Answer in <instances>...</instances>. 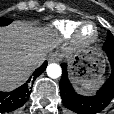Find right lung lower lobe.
Instances as JSON below:
<instances>
[{
    "label": "right lung lower lobe",
    "instance_id": "1",
    "mask_svg": "<svg viewBox=\"0 0 114 114\" xmlns=\"http://www.w3.org/2000/svg\"><path fill=\"white\" fill-rule=\"evenodd\" d=\"M46 66L45 61L34 71L33 81L46 69ZM29 82L30 79L12 92H0V113L11 112L24 105L31 93Z\"/></svg>",
    "mask_w": 114,
    "mask_h": 114
}]
</instances>
